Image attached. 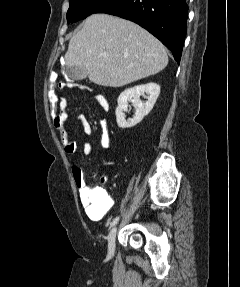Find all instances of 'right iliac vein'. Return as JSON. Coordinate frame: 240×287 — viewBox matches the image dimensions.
Segmentation results:
<instances>
[{
    "instance_id": "1",
    "label": "right iliac vein",
    "mask_w": 240,
    "mask_h": 287,
    "mask_svg": "<svg viewBox=\"0 0 240 287\" xmlns=\"http://www.w3.org/2000/svg\"><path fill=\"white\" fill-rule=\"evenodd\" d=\"M117 234V227H113L108 234V253L114 254L115 251V238Z\"/></svg>"
}]
</instances>
